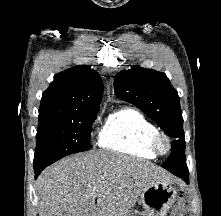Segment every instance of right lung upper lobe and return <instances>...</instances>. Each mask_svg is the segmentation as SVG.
I'll return each instance as SVG.
<instances>
[{
  "label": "right lung upper lobe",
  "instance_id": "cb5924a9",
  "mask_svg": "<svg viewBox=\"0 0 221 216\" xmlns=\"http://www.w3.org/2000/svg\"><path fill=\"white\" fill-rule=\"evenodd\" d=\"M103 93L100 75L87 65L67 69L54 77L43 93L39 123L64 120L98 111Z\"/></svg>",
  "mask_w": 221,
  "mask_h": 216
}]
</instances>
